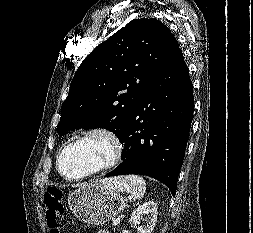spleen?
<instances>
[{
    "instance_id": "3e777b00",
    "label": "spleen",
    "mask_w": 253,
    "mask_h": 233,
    "mask_svg": "<svg viewBox=\"0 0 253 233\" xmlns=\"http://www.w3.org/2000/svg\"><path fill=\"white\" fill-rule=\"evenodd\" d=\"M105 187L119 192H127L134 199L143 198L146 191V182L141 176L126 175L107 180Z\"/></svg>"
}]
</instances>
